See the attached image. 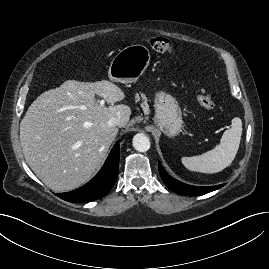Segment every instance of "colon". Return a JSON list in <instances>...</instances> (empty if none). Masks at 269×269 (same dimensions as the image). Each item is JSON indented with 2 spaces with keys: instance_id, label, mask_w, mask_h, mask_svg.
<instances>
[{
  "instance_id": "5ec220e1",
  "label": "colon",
  "mask_w": 269,
  "mask_h": 269,
  "mask_svg": "<svg viewBox=\"0 0 269 269\" xmlns=\"http://www.w3.org/2000/svg\"><path fill=\"white\" fill-rule=\"evenodd\" d=\"M146 43L158 53H172L173 45L172 42L163 37H151L146 40ZM197 101L200 106L206 110H210L214 107L212 98L206 94L203 90L197 92Z\"/></svg>"
}]
</instances>
